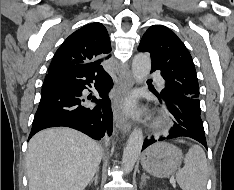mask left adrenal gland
Listing matches in <instances>:
<instances>
[{
	"label": "left adrenal gland",
	"mask_w": 234,
	"mask_h": 190,
	"mask_svg": "<svg viewBox=\"0 0 234 190\" xmlns=\"http://www.w3.org/2000/svg\"><path fill=\"white\" fill-rule=\"evenodd\" d=\"M146 179H149V177L143 173L141 177V186L146 182Z\"/></svg>",
	"instance_id": "a2214340"
}]
</instances>
